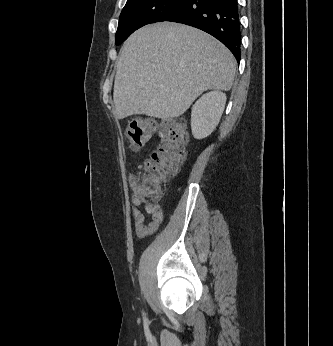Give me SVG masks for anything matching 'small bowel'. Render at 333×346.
I'll return each mask as SVG.
<instances>
[{"mask_svg": "<svg viewBox=\"0 0 333 346\" xmlns=\"http://www.w3.org/2000/svg\"><path fill=\"white\" fill-rule=\"evenodd\" d=\"M131 189V214L134 219L135 233L139 238H145L156 233L162 223L163 213L161 206L157 203H151L139 193V177L137 174H131L128 179ZM141 208L144 209L146 216Z\"/></svg>", "mask_w": 333, "mask_h": 346, "instance_id": "1", "label": "small bowel"}]
</instances>
